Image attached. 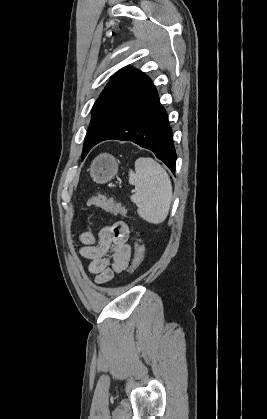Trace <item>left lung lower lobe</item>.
<instances>
[{
  "label": "left lung lower lobe",
  "mask_w": 267,
  "mask_h": 419,
  "mask_svg": "<svg viewBox=\"0 0 267 419\" xmlns=\"http://www.w3.org/2000/svg\"><path fill=\"white\" fill-rule=\"evenodd\" d=\"M111 121L112 129L91 143L83 158L101 141L109 139L132 141L151 150L175 173L176 152L172 129L166 111L159 102L157 90L151 83L138 93L133 103L126 109L113 113Z\"/></svg>",
  "instance_id": "left-lung-lower-lobe-1"
}]
</instances>
